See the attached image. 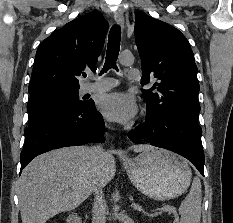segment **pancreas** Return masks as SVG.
<instances>
[{
	"label": "pancreas",
	"mask_w": 233,
	"mask_h": 223,
	"mask_svg": "<svg viewBox=\"0 0 233 223\" xmlns=\"http://www.w3.org/2000/svg\"><path fill=\"white\" fill-rule=\"evenodd\" d=\"M162 211H169V213H175L176 215V207H172V205H165V207H159V211H155V213H162Z\"/></svg>",
	"instance_id": "cf45deb5"
}]
</instances>
